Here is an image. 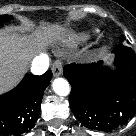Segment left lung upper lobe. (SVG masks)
Masks as SVG:
<instances>
[{"mask_svg":"<svg viewBox=\"0 0 136 136\" xmlns=\"http://www.w3.org/2000/svg\"><path fill=\"white\" fill-rule=\"evenodd\" d=\"M124 37H120V44H124Z\"/></svg>","mask_w":136,"mask_h":136,"instance_id":"5c2ea615","label":"left lung upper lobe"}]
</instances>
